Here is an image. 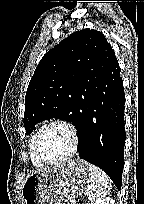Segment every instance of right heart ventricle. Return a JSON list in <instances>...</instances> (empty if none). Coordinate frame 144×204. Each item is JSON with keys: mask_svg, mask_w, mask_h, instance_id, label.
<instances>
[{"mask_svg": "<svg viewBox=\"0 0 144 204\" xmlns=\"http://www.w3.org/2000/svg\"><path fill=\"white\" fill-rule=\"evenodd\" d=\"M34 136L35 134L32 136L30 142H29V146H28V149H29V154H30V159H31V162L34 166H41L42 164H40L33 156V153H32V145H33V140H34Z\"/></svg>", "mask_w": 144, "mask_h": 204, "instance_id": "e07e8e85", "label": "right heart ventricle"}]
</instances>
